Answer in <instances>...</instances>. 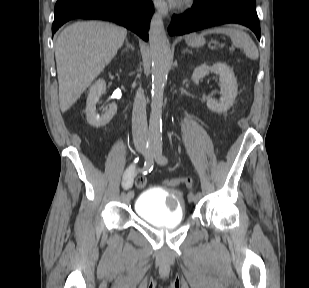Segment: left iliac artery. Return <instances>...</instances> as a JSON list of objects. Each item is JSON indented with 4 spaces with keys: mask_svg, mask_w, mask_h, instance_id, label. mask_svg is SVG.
I'll list each match as a JSON object with an SVG mask.
<instances>
[{
    "mask_svg": "<svg viewBox=\"0 0 309 288\" xmlns=\"http://www.w3.org/2000/svg\"><path fill=\"white\" fill-rule=\"evenodd\" d=\"M154 158L158 164L167 163V158L162 153V138L155 139ZM190 194H192L193 197H198L199 199L202 197L201 192H197L196 195H194L192 192Z\"/></svg>",
    "mask_w": 309,
    "mask_h": 288,
    "instance_id": "44dca946",
    "label": "left iliac artery"
}]
</instances>
